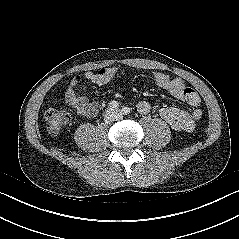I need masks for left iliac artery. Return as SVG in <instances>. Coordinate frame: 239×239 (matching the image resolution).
Returning a JSON list of instances; mask_svg holds the SVG:
<instances>
[{"instance_id": "left-iliac-artery-1", "label": "left iliac artery", "mask_w": 239, "mask_h": 239, "mask_svg": "<svg viewBox=\"0 0 239 239\" xmlns=\"http://www.w3.org/2000/svg\"><path fill=\"white\" fill-rule=\"evenodd\" d=\"M123 114L128 115L130 113V108L129 107H124L122 109Z\"/></svg>"}]
</instances>
